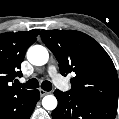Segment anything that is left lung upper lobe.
I'll use <instances>...</instances> for the list:
<instances>
[{
    "label": "left lung upper lobe",
    "mask_w": 119,
    "mask_h": 119,
    "mask_svg": "<svg viewBox=\"0 0 119 119\" xmlns=\"http://www.w3.org/2000/svg\"><path fill=\"white\" fill-rule=\"evenodd\" d=\"M41 39L59 62L63 76L74 72L71 94L118 105L119 82L106 51L90 36L75 30H43Z\"/></svg>",
    "instance_id": "5c2ea615"
}]
</instances>
